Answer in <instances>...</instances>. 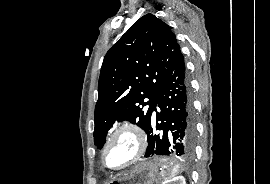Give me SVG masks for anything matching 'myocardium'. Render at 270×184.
Listing matches in <instances>:
<instances>
[{
    "label": "myocardium",
    "mask_w": 270,
    "mask_h": 184,
    "mask_svg": "<svg viewBox=\"0 0 270 184\" xmlns=\"http://www.w3.org/2000/svg\"><path fill=\"white\" fill-rule=\"evenodd\" d=\"M123 132H128L133 135L135 142H136V150L134 155L123 165L119 167H110L106 163V153L111 146V144L114 142L116 137L120 135ZM147 148V138L144 130L135 122L132 121H125L122 124H120L109 136L107 142L105 143L102 153H101V161L104 167H106L109 170L112 171H121L124 170L133 164H135L137 161L141 159V157L144 155Z\"/></svg>",
    "instance_id": "1"
}]
</instances>
